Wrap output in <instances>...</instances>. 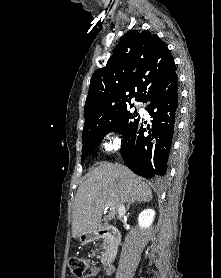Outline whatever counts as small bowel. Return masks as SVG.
<instances>
[{"mask_svg": "<svg viewBox=\"0 0 221 278\" xmlns=\"http://www.w3.org/2000/svg\"><path fill=\"white\" fill-rule=\"evenodd\" d=\"M100 272H102L105 275L109 276V275H111L113 273V270L111 268H102L101 269V268H99L97 266H93L90 269V271H89V273H88L86 278H93V277L97 276Z\"/></svg>", "mask_w": 221, "mask_h": 278, "instance_id": "1", "label": "small bowel"}]
</instances>
